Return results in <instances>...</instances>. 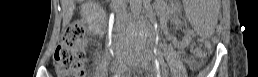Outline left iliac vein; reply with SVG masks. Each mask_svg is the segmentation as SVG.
Wrapping results in <instances>:
<instances>
[{"mask_svg": "<svg viewBox=\"0 0 258 77\" xmlns=\"http://www.w3.org/2000/svg\"><path fill=\"white\" fill-rule=\"evenodd\" d=\"M133 61L139 67L146 69V70L149 69V61L143 54H141V53L135 54Z\"/></svg>", "mask_w": 258, "mask_h": 77, "instance_id": "4c4485c4", "label": "left iliac vein"}]
</instances>
